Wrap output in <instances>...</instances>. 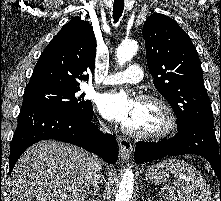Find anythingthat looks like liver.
I'll return each mask as SVG.
<instances>
[{"mask_svg":"<svg viewBox=\"0 0 221 201\" xmlns=\"http://www.w3.org/2000/svg\"><path fill=\"white\" fill-rule=\"evenodd\" d=\"M98 158L76 146L45 140L29 147L11 173L12 201H80Z\"/></svg>","mask_w":221,"mask_h":201,"instance_id":"1","label":"liver"}]
</instances>
